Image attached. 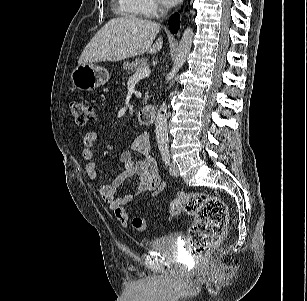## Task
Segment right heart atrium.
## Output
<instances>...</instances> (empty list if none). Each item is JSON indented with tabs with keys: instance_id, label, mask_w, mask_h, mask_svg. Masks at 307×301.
Masks as SVG:
<instances>
[{
	"instance_id": "obj_1",
	"label": "right heart atrium",
	"mask_w": 307,
	"mask_h": 301,
	"mask_svg": "<svg viewBox=\"0 0 307 301\" xmlns=\"http://www.w3.org/2000/svg\"><path fill=\"white\" fill-rule=\"evenodd\" d=\"M141 10L144 16L154 18L161 8L157 0H141Z\"/></svg>"
}]
</instances>
